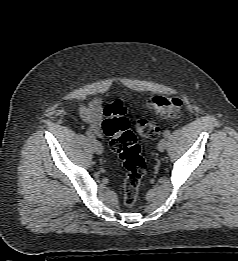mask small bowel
Instances as JSON below:
<instances>
[{
  "label": "small bowel",
  "mask_w": 238,
  "mask_h": 261,
  "mask_svg": "<svg viewBox=\"0 0 238 261\" xmlns=\"http://www.w3.org/2000/svg\"><path fill=\"white\" fill-rule=\"evenodd\" d=\"M104 108L99 99H93L86 105H81L80 116L82 120L88 124L91 131L96 136L102 135V117Z\"/></svg>",
  "instance_id": "small-bowel-1"
}]
</instances>
